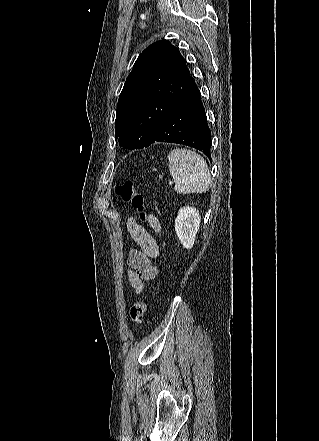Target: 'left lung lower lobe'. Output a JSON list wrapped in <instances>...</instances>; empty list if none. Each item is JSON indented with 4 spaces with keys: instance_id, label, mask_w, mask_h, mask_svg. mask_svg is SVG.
Wrapping results in <instances>:
<instances>
[{
    "instance_id": "1",
    "label": "left lung lower lobe",
    "mask_w": 319,
    "mask_h": 441,
    "mask_svg": "<svg viewBox=\"0 0 319 441\" xmlns=\"http://www.w3.org/2000/svg\"><path fill=\"white\" fill-rule=\"evenodd\" d=\"M210 140L211 132L200 91L193 80L184 96L158 128L152 143L157 141L191 146L211 159Z\"/></svg>"
}]
</instances>
